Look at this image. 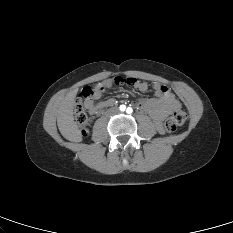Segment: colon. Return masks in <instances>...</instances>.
<instances>
[{"instance_id": "colon-1", "label": "colon", "mask_w": 233, "mask_h": 233, "mask_svg": "<svg viewBox=\"0 0 233 233\" xmlns=\"http://www.w3.org/2000/svg\"><path fill=\"white\" fill-rule=\"evenodd\" d=\"M136 79L134 78H123L115 77L109 80L107 83L101 85L100 87L90 88L85 87L82 90L81 96L76 100L74 116L75 120L80 126V130L83 136L87 134V124L88 116L87 111H89L92 103L98 99L104 92L106 87H131L134 86ZM187 119V114L183 110L175 111L164 124V128L167 132H174L178 127L182 126Z\"/></svg>"}]
</instances>
